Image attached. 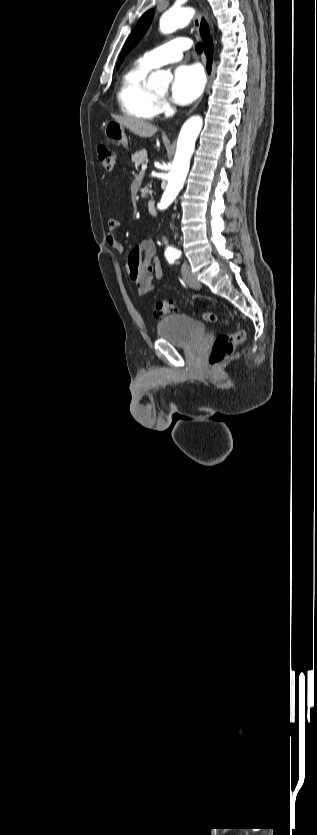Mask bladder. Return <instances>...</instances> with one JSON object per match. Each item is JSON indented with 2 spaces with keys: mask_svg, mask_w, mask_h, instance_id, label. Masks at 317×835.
<instances>
[{
  "mask_svg": "<svg viewBox=\"0 0 317 835\" xmlns=\"http://www.w3.org/2000/svg\"><path fill=\"white\" fill-rule=\"evenodd\" d=\"M202 322L184 315L170 314L157 324V336L175 345L187 346L201 338L205 333Z\"/></svg>",
  "mask_w": 317,
  "mask_h": 835,
  "instance_id": "obj_1",
  "label": "bladder"
}]
</instances>
